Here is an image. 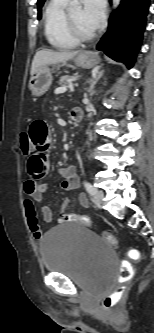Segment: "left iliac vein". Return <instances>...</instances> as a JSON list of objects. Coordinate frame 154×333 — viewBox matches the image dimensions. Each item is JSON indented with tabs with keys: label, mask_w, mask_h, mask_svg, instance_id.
<instances>
[{
	"label": "left iliac vein",
	"mask_w": 154,
	"mask_h": 333,
	"mask_svg": "<svg viewBox=\"0 0 154 333\" xmlns=\"http://www.w3.org/2000/svg\"><path fill=\"white\" fill-rule=\"evenodd\" d=\"M104 197V193L101 190H96L95 194L93 195V201L96 205H101L102 199Z\"/></svg>",
	"instance_id": "1"
}]
</instances>
